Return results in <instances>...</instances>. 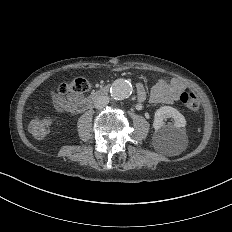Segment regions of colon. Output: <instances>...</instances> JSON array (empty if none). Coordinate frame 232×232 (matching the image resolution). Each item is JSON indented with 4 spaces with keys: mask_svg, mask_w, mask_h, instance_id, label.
<instances>
[{
    "mask_svg": "<svg viewBox=\"0 0 232 232\" xmlns=\"http://www.w3.org/2000/svg\"><path fill=\"white\" fill-rule=\"evenodd\" d=\"M69 88L73 89V93H78L92 89L93 85L86 78L75 77L73 84H64V89ZM179 102H184L183 111H196L198 106L194 94L190 90L182 92ZM28 124L26 131H33V137H46L50 125H53V120H50V112H37V116H29Z\"/></svg>",
    "mask_w": 232,
    "mask_h": 232,
    "instance_id": "colon-1",
    "label": "colon"
}]
</instances>
